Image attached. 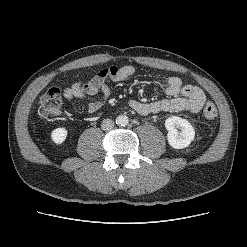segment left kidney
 Masks as SVG:
<instances>
[{"label":"left kidney","instance_id":"5707ae66","mask_svg":"<svg viewBox=\"0 0 247 247\" xmlns=\"http://www.w3.org/2000/svg\"><path fill=\"white\" fill-rule=\"evenodd\" d=\"M165 128L168 131V143L174 149L188 147L195 138L194 128L186 119L177 116L169 117L165 120Z\"/></svg>","mask_w":247,"mask_h":247}]
</instances>
